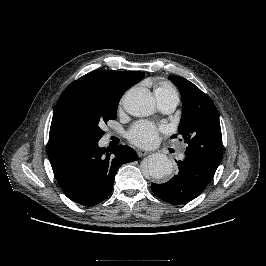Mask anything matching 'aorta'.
Returning <instances> with one entry per match:
<instances>
[{
    "instance_id": "obj_1",
    "label": "aorta",
    "mask_w": 266,
    "mask_h": 266,
    "mask_svg": "<svg viewBox=\"0 0 266 266\" xmlns=\"http://www.w3.org/2000/svg\"><path fill=\"white\" fill-rule=\"evenodd\" d=\"M125 111L135 117H145L153 113L155 99L151 93L140 89H131L123 97ZM142 171L154 179H162L171 175L173 164L171 160L162 153H153L147 157L142 165Z\"/></svg>"
}]
</instances>
